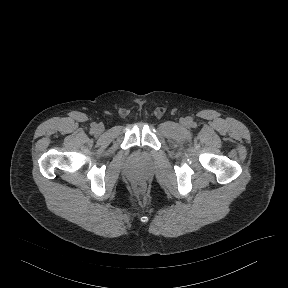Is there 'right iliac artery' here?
Listing matches in <instances>:
<instances>
[{
  "label": "right iliac artery",
  "instance_id": "82829eb1",
  "mask_svg": "<svg viewBox=\"0 0 288 288\" xmlns=\"http://www.w3.org/2000/svg\"><path fill=\"white\" fill-rule=\"evenodd\" d=\"M96 127H97L96 124H93V125H92V129H95Z\"/></svg>",
  "mask_w": 288,
  "mask_h": 288
}]
</instances>
